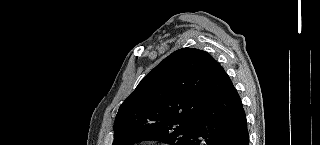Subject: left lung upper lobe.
I'll return each mask as SVG.
<instances>
[{"mask_svg": "<svg viewBox=\"0 0 320 145\" xmlns=\"http://www.w3.org/2000/svg\"><path fill=\"white\" fill-rule=\"evenodd\" d=\"M218 64L195 48L166 57L120 106L113 145L146 140L186 145L206 105V83Z\"/></svg>", "mask_w": 320, "mask_h": 145, "instance_id": "obj_1", "label": "left lung upper lobe"}]
</instances>
